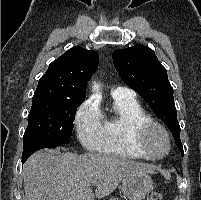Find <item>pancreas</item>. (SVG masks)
<instances>
[{"instance_id": "obj_1", "label": "pancreas", "mask_w": 201, "mask_h": 200, "mask_svg": "<svg viewBox=\"0 0 201 200\" xmlns=\"http://www.w3.org/2000/svg\"><path fill=\"white\" fill-rule=\"evenodd\" d=\"M110 200H119V199H117V198H112V199H110Z\"/></svg>"}]
</instances>
